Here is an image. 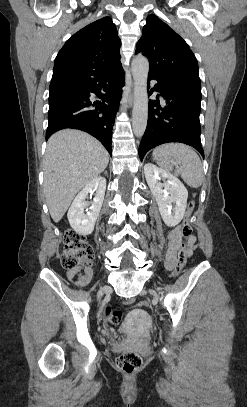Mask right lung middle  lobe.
I'll use <instances>...</instances> for the list:
<instances>
[{
    "instance_id": "obj_1",
    "label": "right lung middle lobe",
    "mask_w": 247,
    "mask_h": 407,
    "mask_svg": "<svg viewBox=\"0 0 247 407\" xmlns=\"http://www.w3.org/2000/svg\"><path fill=\"white\" fill-rule=\"evenodd\" d=\"M81 91H82V88H79V87L50 90L49 101L55 100L62 96L80 93Z\"/></svg>"
}]
</instances>
